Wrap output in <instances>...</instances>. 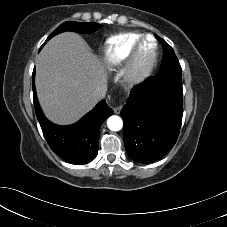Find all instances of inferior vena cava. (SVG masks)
Masks as SVG:
<instances>
[{
  "label": "inferior vena cava",
  "instance_id": "obj_1",
  "mask_svg": "<svg viewBox=\"0 0 227 227\" xmlns=\"http://www.w3.org/2000/svg\"><path fill=\"white\" fill-rule=\"evenodd\" d=\"M107 91V85H102L101 87H98L93 93H92V98L94 101H99L105 97Z\"/></svg>",
  "mask_w": 227,
  "mask_h": 227
}]
</instances>
